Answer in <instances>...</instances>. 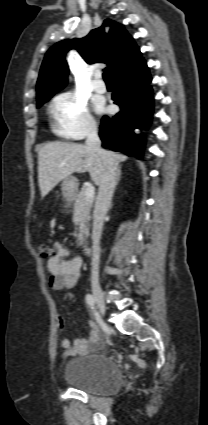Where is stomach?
Instances as JSON below:
<instances>
[{
  "mask_svg": "<svg viewBox=\"0 0 208 425\" xmlns=\"http://www.w3.org/2000/svg\"><path fill=\"white\" fill-rule=\"evenodd\" d=\"M78 189V180L74 176H69L63 179L61 190L66 201L70 202L74 199Z\"/></svg>",
  "mask_w": 208,
  "mask_h": 425,
  "instance_id": "obj_1",
  "label": "stomach"
}]
</instances>
